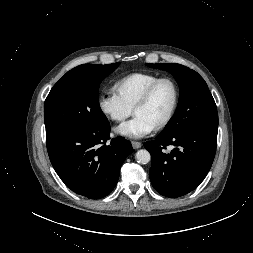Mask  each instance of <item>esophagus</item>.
I'll return each instance as SVG.
<instances>
[{
  "instance_id": "obj_1",
  "label": "esophagus",
  "mask_w": 253,
  "mask_h": 253,
  "mask_svg": "<svg viewBox=\"0 0 253 253\" xmlns=\"http://www.w3.org/2000/svg\"><path fill=\"white\" fill-rule=\"evenodd\" d=\"M132 146L134 149H138L142 146V143L138 141H132Z\"/></svg>"
}]
</instances>
